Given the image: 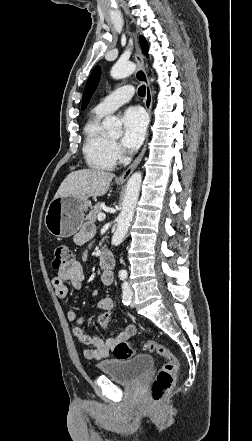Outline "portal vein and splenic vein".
I'll list each match as a JSON object with an SVG mask.
<instances>
[{"label": "portal vein and splenic vein", "instance_id": "obj_1", "mask_svg": "<svg viewBox=\"0 0 252 441\" xmlns=\"http://www.w3.org/2000/svg\"><path fill=\"white\" fill-rule=\"evenodd\" d=\"M98 221H103L106 218V215L104 213L98 214Z\"/></svg>", "mask_w": 252, "mask_h": 441}]
</instances>
